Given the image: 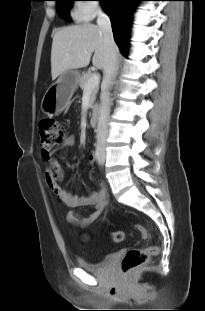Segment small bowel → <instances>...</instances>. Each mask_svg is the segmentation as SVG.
Segmentation results:
<instances>
[{
    "mask_svg": "<svg viewBox=\"0 0 205 311\" xmlns=\"http://www.w3.org/2000/svg\"><path fill=\"white\" fill-rule=\"evenodd\" d=\"M76 139L73 135L67 136L62 143L61 148H71L75 145ZM89 161L94 163L96 156L94 152L89 154ZM45 181L48 187L58 196L60 201L68 208L74 209L81 206H92L93 211L88 216H81L71 210L67 214V220L73 225L85 226L93 223L103 212L107 203V192L104 185L101 183V189L94 191L87 196H78L72 191L64 189L61 186L62 169L59 161L50 156L48 164L44 171Z\"/></svg>",
    "mask_w": 205,
    "mask_h": 311,
    "instance_id": "c3829d8e",
    "label": "small bowel"
}]
</instances>
